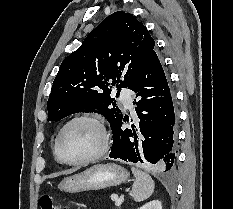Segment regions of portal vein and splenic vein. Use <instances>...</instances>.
<instances>
[{"instance_id":"obj_1","label":"portal vein and splenic vein","mask_w":233,"mask_h":209,"mask_svg":"<svg viewBox=\"0 0 233 209\" xmlns=\"http://www.w3.org/2000/svg\"><path fill=\"white\" fill-rule=\"evenodd\" d=\"M111 200H112V201H115L116 204H117L118 201H119L118 196H117L116 194L111 195Z\"/></svg>"}]
</instances>
